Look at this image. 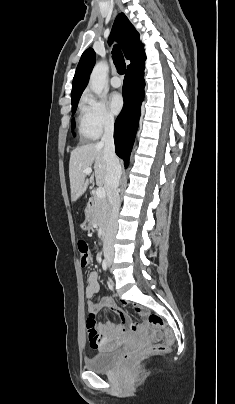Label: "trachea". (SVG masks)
<instances>
[{"instance_id": "obj_1", "label": "trachea", "mask_w": 235, "mask_h": 404, "mask_svg": "<svg viewBox=\"0 0 235 404\" xmlns=\"http://www.w3.org/2000/svg\"><path fill=\"white\" fill-rule=\"evenodd\" d=\"M112 58H113L115 67L117 69V72L119 74H124L125 70H126V64H125L123 54L117 46H114V48L112 50Z\"/></svg>"}]
</instances>
